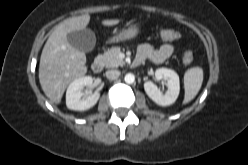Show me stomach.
Instances as JSON below:
<instances>
[{
	"label": "stomach",
	"mask_w": 248,
	"mask_h": 165,
	"mask_svg": "<svg viewBox=\"0 0 248 165\" xmlns=\"http://www.w3.org/2000/svg\"><path fill=\"white\" fill-rule=\"evenodd\" d=\"M140 29L137 25L130 26L120 31L116 36L110 39L111 42H121L133 39L139 33Z\"/></svg>",
	"instance_id": "obj_1"
}]
</instances>
